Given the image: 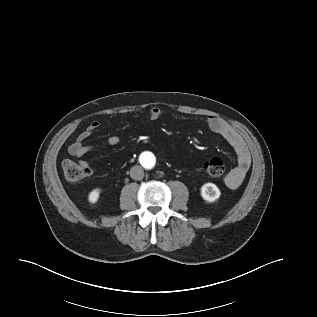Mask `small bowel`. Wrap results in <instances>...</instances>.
<instances>
[{
  "label": "small bowel",
  "mask_w": 317,
  "mask_h": 317,
  "mask_svg": "<svg viewBox=\"0 0 317 317\" xmlns=\"http://www.w3.org/2000/svg\"><path fill=\"white\" fill-rule=\"evenodd\" d=\"M149 115L152 120H158L162 117L163 111L159 107H154L151 109ZM205 122L209 129L227 141L237 154L236 167L233 168L224 179L227 187L236 189L242 184L251 164V157L245 143L240 134L224 119L210 115L206 117ZM99 128V122L94 121L90 123L68 147L69 154L85 166H88V164L84 160V156L96 147L95 145L86 144V140ZM119 142L120 138L116 135L108 136L105 140V143L109 146H115L119 144Z\"/></svg>",
  "instance_id": "obj_1"
}]
</instances>
